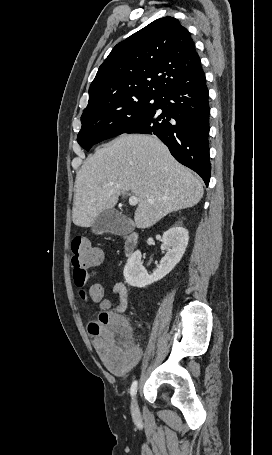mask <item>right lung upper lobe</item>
I'll return each mask as SVG.
<instances>
[{
    "label": "right lung upper lobe",
    "mask_w": 272,
    "mask_h": 455,
    "mask_svg": "<svg viewBox=\"0 0 272 455\" xmlns=\"http://www.w3.org/2000/svg\"><path fill=\"white\" fill-rule=\"evenodd\" d=\"M203 73L188 30L163 17L113 48L90 85L84 112L136 95L162 96Z\"/></svg>",
    "instance_id": "cb5924a9"
}]
</instances>
